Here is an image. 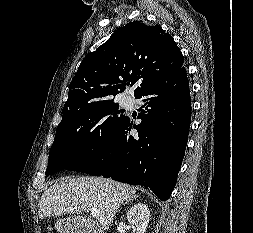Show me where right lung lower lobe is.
<instances>
[{"instance_id": "right-lung-lower-lobe-1", "label": "right lung lower lobe", "mask_w": 253, "mask_h": 233, "mask_svg": "<svg viewBox=\"0 0 253 233\" xmlns=\"http://www.w3.org/2000/svg\"><path fill=\"white\" fill-rule=\"evenodd\" d=\"M136 99L141 123L133 125L126 116L105 147L68 170L103 176L150 188L167 200L177 181L191 121L189 82L184 67L154 80Z\"/></svg>"}]
</instances>
